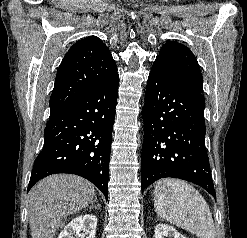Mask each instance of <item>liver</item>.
I'll return each instance as SVG.
<instances>
[{
  "label": "liver",
  "mask_w": 247,
  "mask_h": 238,
  "mask_svg": "<svg viewBox=\"0 0 247 238\" xmlns=\"http://www.w3.org/2000/svg\"><path fill=\"white\" fill-rule=\"evenodd\" d=\"M94 195V186L76 175L56 174L41 180L30 191L32 238H54L62 219L86 208Z\"/></svg>",
  "instance_id": "1"
}]
</instances>
